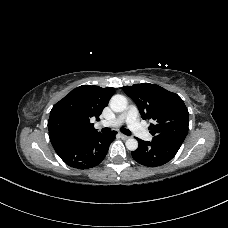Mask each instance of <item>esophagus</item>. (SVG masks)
<instances>
[{
	"mask_svg": "<svg viewBox=\"0 0 228 228\" xmlns=\"http://www.w3.org/2000/svg\"><path fill=\"white\" fill-rule=\"evenodd\" d=\"M120 136L123 140H127L129 138L127 135H124V134H120Z\"/></svg>",
	"mask_w": 228,
	"mask_h": 228,
	"instance_id": "1",
	"label": "esophagus"
}]
</instances>
